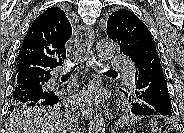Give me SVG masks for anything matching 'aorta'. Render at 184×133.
Returning <instances> with one entry per match:
<instances>
[{"label": "aorta", "instance_id": "aorta-1", "mask_svg": "<svg viewBox=\"0 0 184 133\" xmlns=\"http://www.w3.org/2000/svg\"><path fill=\"white\" fill-rule=\"evenodd\" d=\"M96 53L100 61H109L115 54V46L112 42L101 40L96 44ZM106 124L101 114L94 115L88 133H105Z\"/></svg>", "mask_w": 184, "mask_h": 133}]
</instances>
